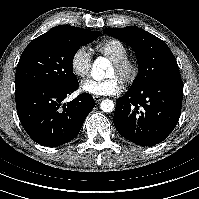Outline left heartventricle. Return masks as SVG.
Here are the masks:
<instances>
[{"instance_id": "left-heart-ventricle-1", "label": "left heart ventricle", "mask_w": 199, "mask_h": 199, "mask_svg": "<svg viewBox=\"0 0 199 199\" xmlns=\"http://www.w3.org/2000/svg\"><path fill=\"white\" fill-rule=\"evenodd\" d=\"M114 74H116V71H115V68L113 67L111 72H110V75H114Z\"/></svg>"}]
</instances>
